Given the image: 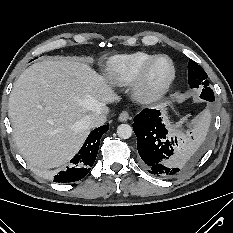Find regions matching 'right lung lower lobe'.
<instances>
[{"label":"right lung lower lobe","mask_w":233,"mask_h":233,"mask_svg":"<svg viewBox=\"0 0 233 233\" xmlns=\"http://www.w3.org/2000/svg\"><path fill=\"white\" fill-rule=\"evenodd\" d=\"M108 129L109 125H103L93 130L78 154L70 161V166H67L64 171H60L54 176V182H74L85 177L95 162L100 139Z\"/></svg>","instance_id":"right-lung-lower-lobe-1"}]
</instances>
